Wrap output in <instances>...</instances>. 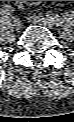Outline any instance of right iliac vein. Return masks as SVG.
Masks as SVG:
<instances>
[{
    "label": "right iliac vein",
    "mask_w": 74,
    "mask_h": 122,
    "mask_svg": "<svg viewBox=\"0 0 74 122\" xmlns=\"http://www.w3.org/2000/svg\"><path fill=\"white\" fill-rule=\"evenodd\" d=\"M13 27L15 28V30L19 31L22 27L21 21L18 19H14L13 20Z\"/></svg>",
    "instance_id": "1"
}]
</instances>
